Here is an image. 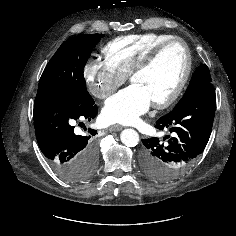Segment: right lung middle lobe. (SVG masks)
<instances>
[{"mask_svg": "<svg viewBox=\"0 0 236 236\" xmlns=\"http://www.w3.org/2000/svg\"><path fill=\"white\" fill-rule=\"evenodd\" d=\"M103 36L85 34L65 41L45 67L36 97H56L76 104L94 103L86 89L83 69L92 49ZM96 165L97 158H92L83 165L78 180L82 181L91 176Z\"/></svg>", "mask_w": 236, "mask_h": 236, "instance_id": "right-lung-middle-lobe-1", "label": "right lung middle lobe"}]
</instances>
